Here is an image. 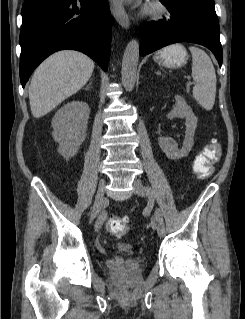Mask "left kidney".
Segmentation results:
<instances>
[{"label":"left kidney","instance_id":"left-kidney-1","mask_svg":"<svg viewBox=\"0 0 245 319\" xmlns=\"http://www.w3.org/2000/svg\"><path fill=\"white\" fill-rule=\"evenodd\" d=\"M175 99L177 103L167 117L185 118L186 131L183 147L179 150L177 143L171 138L159 139L160 147L166 153L167 157L172 160L181 159L188 155L194 144V134L197 128V118L185 99L180 95H176Z\"/></svg>","mask_w":245,"mask_h":319}]
</instances>
